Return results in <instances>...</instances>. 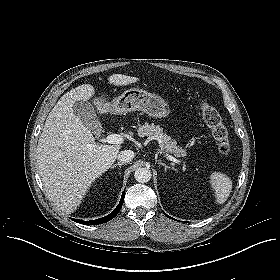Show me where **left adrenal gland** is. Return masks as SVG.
<instances>
[{
  "mask_svg": "<svg viewBox=\"0 0 280 280\" xmlns=\"http://www.w3.org/2000/svg\"><path fill=\"white\" fill-rule=\"evenodd\" d=\"M158 164H159V165H162V166L165 168V171H166L167 169H173V170H174V167H173V166H168V165H166L165 163H163V162H161V161H158Z\"/></svg>",
  "mask_w": 280,
  "mask_h": 280,
  "instance_id": "left-adrenal-gland-1",
  "label": "left adrenal gland"
}]
</instances>
